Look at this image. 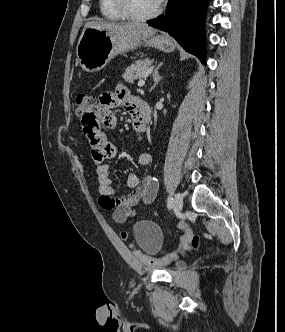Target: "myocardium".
<instances>
[{
    "label": "myocardium",
    "mask_w": 285,
    "mask_h": 332,
    "mask_svg": "<svg viewBox=\"0 0 285 332\" xmlns=\"http://www.w3.org/2000/svg\"><path fill=\"white\" fill-rule=\"evenodd\" d=\"M118 10L127 18L133 21L144 22L157 17L161 13V6L159 5L153 12L149 14H137L132 6L130 0H115Z\"/></svg>",
    "instance_id": "f54148a6"
}]
</instances>
